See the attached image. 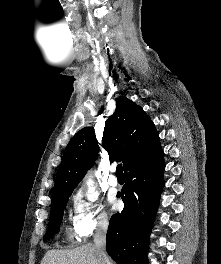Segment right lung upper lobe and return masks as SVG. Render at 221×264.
Segmentation results:
<instances>
[{
    "label": "right lung upper lobe",
    "mask_w": 221,
    "mask_h": 264,
    "mask_svg": "<svg viewBox=\"0 0 221 264\" xmlns=\"http://www.w3.org/2000/svg\"><path fill=\"white\" fill-rule=\"evenodd\" d=\"M102 145L110 160L123 162L125 172L150 162L162 152L159 135L150 117L124 96L116 100V110L105 123ZM98 151L93 127H85L72 137L57 171L52 200L73 192L94 164Z\"/></svg>",
    "instance_id": "cb5924a9"
}]
</instances>
